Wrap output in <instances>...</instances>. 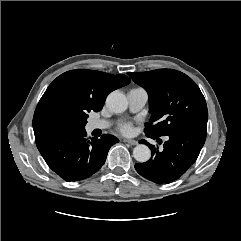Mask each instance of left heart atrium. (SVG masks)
Wrapping results in <instances>:
<instances>
[{
    "label": "left heart atrium",
    "mask_w": 241,
    "mask_h": 241,
    "mask_svg": "<svg viewBox=\"0 0 241 241\" xmlns=\"http://www.w3.org/2000/svg\"><path fill=\"white\" fill-rule=\"evenodd\" d=\"M119 130L120 132H122L123 134H131L132 133V125L130 123H123L119 126Z\"/></svg>",
    "instance_id": "1"
}]
</instances>
